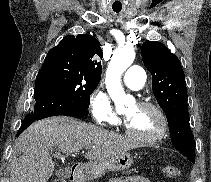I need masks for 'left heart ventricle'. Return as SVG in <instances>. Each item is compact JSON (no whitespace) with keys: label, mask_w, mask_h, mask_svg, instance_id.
<instances>
[{"label":"left heart ventricle","mask_w":211,"mask_h":182,"mask_svg":"<svg viewBox=\"0 0 211 182\" xmlns=\"http://www.w3.org/2000/svg\"><path fill=\"white\" fill-rule=\"evenodd\" d=\"M125 116L127 125L137 136L151 137L160 128L159 117L152 109L132 105L127 109Z\"/></svg>","instance_id":"left-heart-ventricle-1"}]
</instances>
